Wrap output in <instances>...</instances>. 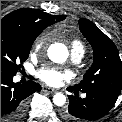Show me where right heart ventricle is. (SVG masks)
Returning <instances> with one entry per match:
<instances>
[{"label": "right heart ventricle", "mask_w": 122, "mask_h": 122, "mask_svg": "<svg viewBox=\"0 0 122 122\" xmlns=\"http://www.w3.org/2000/svg\"><path fill=\"white\" fill-rule=\"evenodd\" d=\"M72 48H79V49H81V50L84 51V46H83V44H82L80 41H78V40H75V41L72 43Z\"/></svg>", "instance_id": "e07e8e85"}]
</instances>
